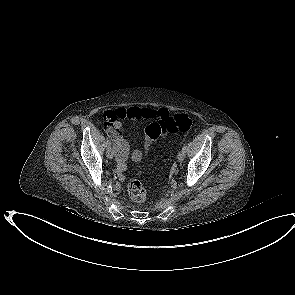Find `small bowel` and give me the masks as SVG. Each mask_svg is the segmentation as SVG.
I'll return each instance as SVG.
<instances>
[{
    "label": "small bowel",
    "instance_id": "small-bowel-1",
    "mask_svg": "<svg viewBox=\"0 0 295 295\" xmlns=\"http://www.w3.org/2000/svg\"><path fill=\"white\" fill-rule=\"evenodd\" d=\"M167 116L168 112L165 109L154 110L139 106L127 109L108 110L104 113L103 119L107 123V132L111 135L115 143V149L117 150V167L120 175L126 170V160L129 152L128 143L121 135V122L132 120H154L159 122ZM152 145L153 143H150L148 139L145 138V148L149 149ZM142 158L143 152L141 150H134L131 154V159L135 162L141 161Z\"/></svg>",
    "mask_w": 295,
    "mask_h": 295
}]
</instances>
